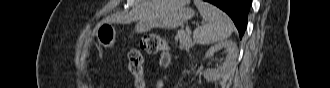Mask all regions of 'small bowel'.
<instances>
[{
	"mask_svg": "<svg viewBox=\"0 0 330 88\" xmlns=\"http://www.w3.org/2000/svg\"><path fill=\"white\" fill-rule=\"evenodd\" d=\"M161 86H162L161 82H158L157 87H161Z\"/></svg>",
	"mask_w": 330,
	"mask_h": 88,
	"instance_id": "1",
	"label": "small bowel"
}]
</instances>
